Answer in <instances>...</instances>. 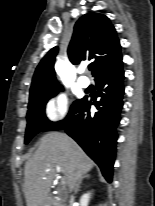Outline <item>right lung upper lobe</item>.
I'll use <instances>...</instances> for the list:
<instances>
[{
	"instance_id": "obj_1",
	"label": "right lung upper lobe",
	"mask_w": 155,
	"mask_h": 206,
	"mask_svg": "<svg viewBox=\"0 0 155 206\" xmlns=\"http://www.w3.org/2000/svg\"><path fill=\"white\" fill-rule=\"evenodd\" d=\"M121 46L115 28L110 20L97 13L82 16L75 24L74 33L68 47V57L73 64L91 60L95 79L112 69L122 58ZM58 48L51 49L37 66L30 96L57 86L54 60Z\"/></svg>"
}]
</instances>
